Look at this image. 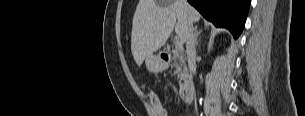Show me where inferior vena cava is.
<instances>
[{
    "label": "inferior vena cava",
    "instance_id": "1",
    "mask_svg": "<svg viewBox=\"0 0 305 116\" xmlns=\"http://www.w3.org/2000/svg\"><path fill=\"white\" fill-rule=\"evenodd\" d=\"M185 4H187V1L185 0ZM195 35L193 33V24L192 22H188L187 25V33H186V53L188 58V65L191 74H195L196 72V49H195Z\"/></svg>",
    "mask_w": 305,
    "mask_h": 116
}]
</instances>
